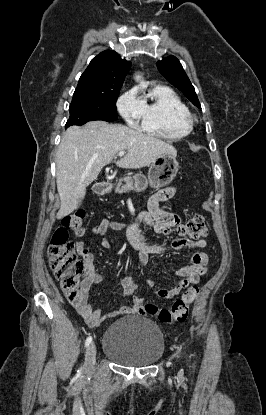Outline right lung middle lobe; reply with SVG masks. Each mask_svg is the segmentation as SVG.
Instances as JSON below:
<instances>
[{
	"label": "right lung middle lobe",
	"mask_w": 266,
	"mask_h": 415,
	"mask_svg": "<svg viewBox=\"0 0 266 415\" xmlns=\"http://www.w3.org/2000/svg\"><path fill=\"white\" fill-rule=\"evenodd\" d=\"M118 95L119 91L110 94L74 93L65 128L94 120L115 121Z\"/></svg>",
	"instance_id": "dd1d6c3e"
}]
</instances>
